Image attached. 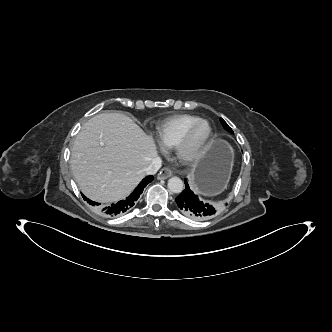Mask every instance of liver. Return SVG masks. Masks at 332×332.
Segmentation results:
<instances>
[{"label":"liver","mask_w":332,"mask_h":332,"mask_svg":"<svg viewBox=\"0 0 332 332\" xmlns=\"http://www.w3.org/2000/svg\"><path fill=\"white\" fill-rule=\"evenodd\" d=\"M157 156L154 140L128 116L103 113L89 119L71 150V169L90 199L112 203L128 196Z\"/></svg>","instance_id":"liver-1"}]
</instances>
